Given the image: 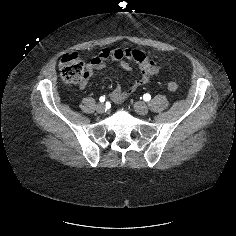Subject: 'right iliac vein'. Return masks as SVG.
Masks as SVG:
<instances>
[{
    "label": "right iliac vein",
    "instance_id": "obj_1",
    "mask_svg": "<svg viewBox=\"0 0 236 236\" xmlns=\"http://www.w3.org/2000/svg\"><path fill=\"white\" fill-rule=\"evenodd\" d=\"M96 111H97L98 113H104V112H106V107H105V105L102 104V103H99V104L96 106Z\"/></svg>",
    "mask_w": 236,
    "mask_h": 236
}]
</instances>
